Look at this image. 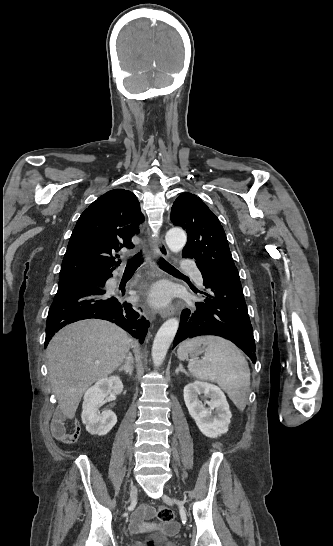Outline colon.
<instances>
[{
    "mask_svg": "<svg viewBox=\"0 0 333 546\" xmlns=\"http://www.w3.org/2000/svg\"><path fill=\"white\" fill-rule=\"evenodd\" d=\"M157 517L159 520H161L164 523H173L174 521L173 511L164 505L157 507ZM146 545L156 546V544L153 541H148Z\"/></svg>",
    "mask_w": 333,
    "mask_h": 546,
    "instance_id": "1",
    "label": "colon"
}]
</instances>
